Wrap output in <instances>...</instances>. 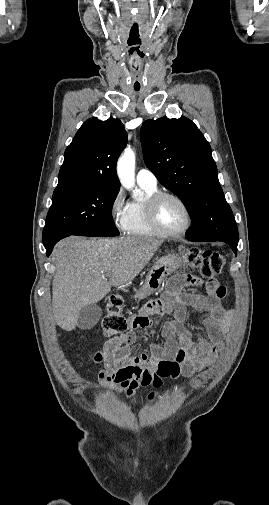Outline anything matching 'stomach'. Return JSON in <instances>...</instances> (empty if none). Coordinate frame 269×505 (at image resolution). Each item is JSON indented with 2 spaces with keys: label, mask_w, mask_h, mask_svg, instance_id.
Returning a JSON list of instances; mask_svg holds the SVG:
<instances>
[{
  "label": "stomach",
  "mask_w": 269,
  "mask_h": 505,
  "mask_svg": "<svg viewBox=\"0 0 269 505\" xmlns=\"http://www.w3.org/2000/svg\"><path fill=\"white\" fill-rule=\"evenodd\" d=\"M185 257L169 254L160 258L148 272L140 296H148L157 291L162 281L185 264Z\"/></svg>",
  "instance_id": "1"
}]
</instances>
